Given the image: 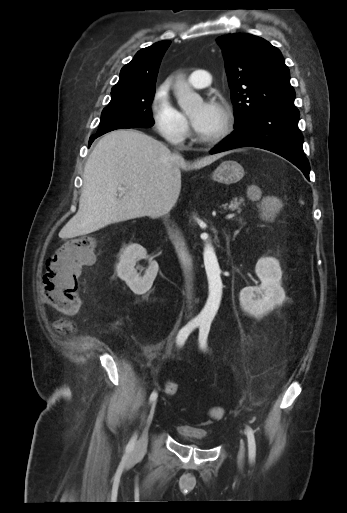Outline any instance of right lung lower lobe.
Segmentation results:
<instances>
[{"mask_svg": "<svg viewBox=\"0 0 347 513\" xmlns=\"http://www.w3.org/2000/svg\"><path fill=\"white\" fill-rule=\"evenodd\" d=\"M103 134H95L93 136L90 137L89 139V146L91 145V143L94 141V139H96L97 137L101 136Z\"/></svg>", "mask_w": 347, "mask_h": 513, "instance_id": "1", "label": "right lung lower lobe"}]
</instances>
